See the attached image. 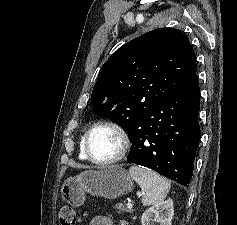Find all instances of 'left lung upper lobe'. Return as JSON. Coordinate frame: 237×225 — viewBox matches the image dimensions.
<instances>
[{"label":"left lung upper lobe","instance_id":"left-lung-upper-lobe-1","mask_svg":"<svg viewBox=\"0 0 237 225\" xmlns=\"http://www.w3.org/2000/svg\"><path fill=\"white\" fill-rule=\"evenodd\" d=\"M189 39L173 28L150 31L121 46L102 66L93 111L126 132L156 104L197 84Z\"/></svg>","mask_w":237,"mask_h":225}]
</instances>
